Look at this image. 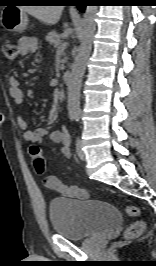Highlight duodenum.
I'll return each mask as SVG.
<instances>
[{
	"mask_svg": "<svg viewBox=\"0 0 156 266\" xmlns=\"http://www.w3.org/2000/svg\"><path fill=\"white\" fill-rule=\"evenodd\" d=\"M62 79H63V82L66 85L70 84V82H71V73L68 72V71L64 72L63 73V76H62Z\"/></svg>",
	"mask_w": 156,
	"mask_h": 266,
	"instance_id": "duodenum-1",
	"label": "duodenum"
}]
</instances>
